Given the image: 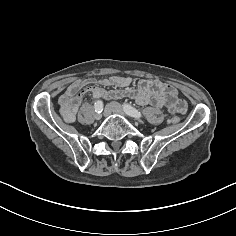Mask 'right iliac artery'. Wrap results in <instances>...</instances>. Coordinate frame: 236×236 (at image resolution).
<instances>
[{"label":"right iliac artery","mask_w":236,"mask_h":236,"mask_svg":"<svg viewBox=\"0 0 236 236\" xmlns=\"http://www.w3.org/2000/svg\"><path fill=\"white\" fill-rule=\"evenodd\" d=\"M94 109L97 113H101L103 111V102L99 100L95 102Z\"/></svg>","instance_id":"right-iliac-artery-1"}]
</instances>
